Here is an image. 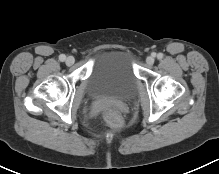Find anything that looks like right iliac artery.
Instances as JSON below:
<instances>
[{
  "label": "right iliac artery",
  "instance_id": "obj_1",
  "mask_svg": "<svg viewBox=\"0 0 219 174\" xmlns=\"http://www.w3.org/2000/svg\"><path fill=\"white\" fill-rule=\"evenodd\" d=\"M65 59H66V56L64 55V54H61L60 56H59V60L60 61H65Z\"/></svg>",
  "mask_w": 219,
  "mask_h": 174
}]
</instances>
